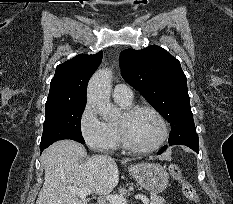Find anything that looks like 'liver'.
I'll return each instance as SVG.
<instances>
[{
	"mask_svg": "<svg viewBox=\"0 0 233 204\" xmlns=\"http://www.w3.org/2000/svg\"><path fill=\"white\" fill-rule=\"evenodd\" d=\"M87 155L85 148L72 140H60L43 153L45 182L36 204H87L69 187L89 189L95 195L106 197L118 185L119 172L115 160Z\"/></svg>",
	"mask_w": 233,
	"mask_h": 204,
	"instance_id": "liver-1",
	"label": "liver"
}]
</instances>
